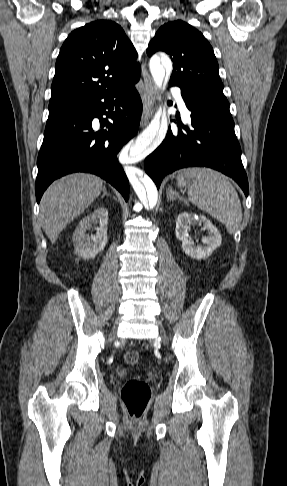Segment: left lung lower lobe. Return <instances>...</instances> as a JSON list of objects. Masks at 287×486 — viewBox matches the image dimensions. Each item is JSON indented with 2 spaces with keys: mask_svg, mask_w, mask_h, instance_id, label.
<instances>
[{
  "mask_svg": "<svg viewBox=\"0 0 287 486\" xmlns=\"http://www.w3.org/2000/svg\"><path fill=\"white\" fill-rule=\"evenodd\" d=\"M171 86H178L171 84ZM181 88V87H180ZM182 98L191 113V129L169 127L161 145L145 159V171L159 188L163 177L185 167L205 166L232 177L248 196V180L233 119L210 110L186 88Z\"/></svg>",
  "mask_w": 287,
  "mask_h": 486,
  "instance_id": "obj_1",
  "label": "left lung lower lobe"
}]
</instances>
